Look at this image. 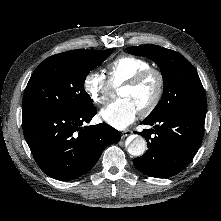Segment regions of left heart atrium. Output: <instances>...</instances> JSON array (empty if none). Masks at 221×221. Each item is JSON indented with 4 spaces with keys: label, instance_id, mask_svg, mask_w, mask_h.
Wrapping results in <instances>:
<instances>
[{
    "label": "left heart atrium",
    "instance_id": "obj_1",
    "mask_svg": "<svg viewBox=\"0 0 221 221\" xmlns=\"http://www.w3.org/2000/svg\"><path fill=\"white\" fill-rule=\"evenodd\" d=\"M138 108L128 98H119L105 106L99 113L100 118L116 129H124L137 117Z\"/></svg>",
    "mask_w": 221,
    "mask_h": 221
}]
</instances>
